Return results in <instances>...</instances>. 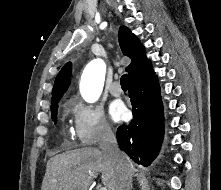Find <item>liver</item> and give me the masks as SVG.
Returning a JSON list of instances; mask_svg holds the SVG:
<instances>
[{
	"instance_id": "6515ba94",
	"label": "liver",
	"mask_w": 221,
	"mask_h": 190,
	"mask_svg": "<svg viewBox=\"0 0 221 190\" xmlns=\"http://www.w3.org/2000/svg\"><path fill=\"white\" fill-rule=\"evenodd\" d=\"M126 159L132 174L134 165L127 156ZM99 172L107 190H115L119 173L106 154L91 147L68 151L49 159L41 190H88Z\"/></svg>"
}]
</instances>
